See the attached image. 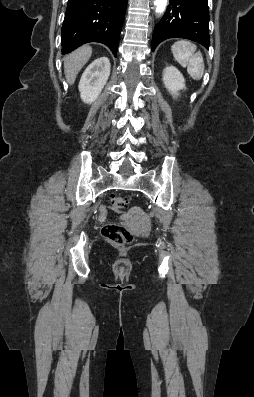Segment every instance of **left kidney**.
Segmentation results:
<instances>
[{"label": "left kidney", "instance_id": "obj_1", "mask_svg": "<svg viewBox=\"0 0 254 397\" xmlns=\"http://www.w3.org/2000/svg\"><path fill=\"white\" fill-rule=\"evenodd\" d=\"M163 83L172 96L179 95V91L185 89V79L181 72L174 66H168L163 72Z\"/></svg>", "mask_w": 254, "mask_h": 397}]
</instances>
